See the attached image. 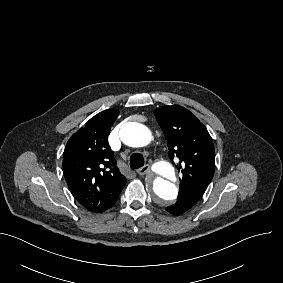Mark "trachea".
<instances>
[{
	"label": "trachea",
	"mask_w": 283,
	"mask_h": 283,
	"mask_svg": "<svg viewBox=\"0 0 283 283\" xmlns=\"http://www.w3.org/2000/svg\"><path fill=\"white\" fill-rule=\"evenodd\" d=\"M144 157L140 153H133L130 157V167L131 169H138L143 167Z\"/></svg>",
	"instance_id": "3493384b"
}]
</instances>
